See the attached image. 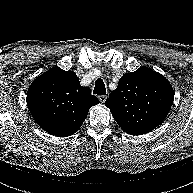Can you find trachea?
<instances>
[{
  "instance_id": "3493384b",
  "label": "trachea",
  "mask_w": 193,
  "mask_h": 193,
  "mask_svg": "<svg viewBox=\"0 0 193 193\" xmlns=\"http://www.w3.org/2000/svg\"><path fill=\"white\" fill-rule=\"evenodd\" d=\"M93 94H97V95H105L106 94L105 84H104L102 79H97L95 81V87L93 90Z\"/></svg>"
}]
</instances>
